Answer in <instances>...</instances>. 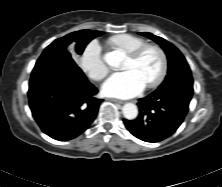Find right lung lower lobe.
Listing matches in <instances>:
<instances>
[{
    "instance_id": "right-lung-lower-lobe-1",
    "label": "right lung lower lobe",
    "mask_w": 222,
    "mask_h": 187,
    "mask_svg": "<svg viewBox=\"0 0 222 187\" xmlns=\"http://www.w3.org/2000/svg\"><path fill=\"white\" fill-rule=\"evenodd\" d=\"M91 84L71 55L45 49L29 82V106L41 130L53 139L79 136L95 119L99 105Z\"/></svg>"
}]
</instances>
